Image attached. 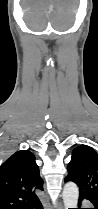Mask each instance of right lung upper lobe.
<instances>
[{"label":"right lung upper lobe","instance_id":"right-lung-upper-lobe-1","mask_svg":"<svg viewBox=\"0 0 98 209\" xmlns=\"http://www.w3.org/2000/svg\"><path fill=\"white\" fill-rule=\"evenodd\" d=\"M36 189L43 180L32 152L17 151L0 166V209H25L38 200Z\"/></svg>","mask_w":98,"mask_h":209}]
</instances>
